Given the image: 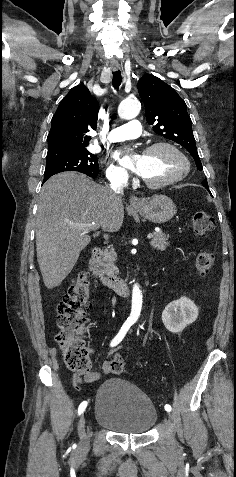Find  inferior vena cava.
I'll return each instance as SVG.
<instances>
[{
    "instance_id": "obj_1",
    "label": "inferior vena cava",
    "mask_w": 236,
    "mask_h": 477,
    "mask_svg": "<svg viewBox=\"0 0 236 477\" xmlns=\"http://www.w3.org/2000/svg\"><path fill=\"white\" fill-rule=\"evenodd\" d=\"M125 186V182L123 179H115L111 183V190L113 192L114 198L118 199L123 194V188Z\"/></svg>"
}]
</instances>
